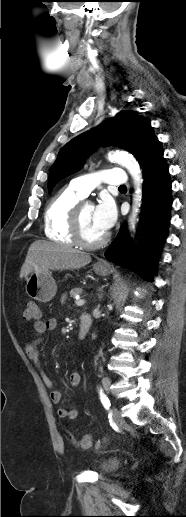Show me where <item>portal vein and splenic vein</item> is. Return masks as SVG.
<instances>
[{
	"label": "portal vein and splenic vein",
	"instance_id": "portal-vein-and-splenic-vein-1",
	"mask_svg": "<svg viewBox=\"0 0 186 517\" xmlns=\"http://www.w3.org/2000/svg\"><path fill=\"white\" fill-rule=\"evenodd\" d=\"M85 301L79 298H76L75 304L78 306L84 305Z\"/></svg>",
	"mask_w": 186,
	"mask_h": 517
}]
</instances>
